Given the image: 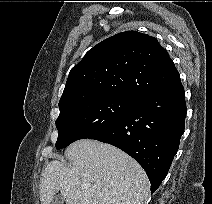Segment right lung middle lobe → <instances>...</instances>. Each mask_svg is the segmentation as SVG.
Segmentation results:
<instances>
[{"label":"right lung middle lobe","mask_w":212,"mask_h":204,"mask_svg":"<svg viewBox=\"0 0 212 204\" xmlns=\"http://www.w3.org/2000/svg\"><path fill=\"white\" fill-rule=\"evenodd\" d=\"M134 102L123 96H107L61 108L56 120V148H64L76 140L90 138L109 129L127 114Z\"/></svg>","instance_id":"right-lung-middle-lobe-1"}]
</instances>
